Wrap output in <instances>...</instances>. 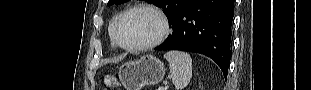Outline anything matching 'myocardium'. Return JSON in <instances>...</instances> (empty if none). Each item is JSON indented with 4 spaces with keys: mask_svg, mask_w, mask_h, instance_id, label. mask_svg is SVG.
<instances>
[{
    "mask_svg": "<svg viewBox=\"0 0 311 90\" xmlns=\"http://www.w3.org/2000/svg\"><path fill=\"white\" fill-rule=\"evenodd\" d=\"M137 11H145V12H149V13L155 15L160 22V32L153 40H151L147 43L140 44V45H125L120 41V39L118 37V28L126 16H128L129 14H131L133 12H137ZM169 33H170L169 21H168L166 15L160 9H158L154 6H150V5H136V6H133L129 9L125 10L124 12H122L118 16V18L116 19L114 27H113V40H114V43L118 47H120L124 50H127V51H144V50L151 49V48L156 47L157 45L161 44L167 38Z\"/></svg>",
    "mask_w": 311,
    "mask_h": 90,
    "instance_id": "obj_1",
    "label": "myocardium"
}]
</instances>
